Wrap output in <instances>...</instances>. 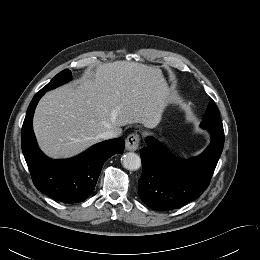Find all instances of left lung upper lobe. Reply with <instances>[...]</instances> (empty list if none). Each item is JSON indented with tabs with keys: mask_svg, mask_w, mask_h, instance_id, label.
Here are the masks:
<instances>
[{
	"mask_svg": "<svg viewBox=\"0 0 260 260\" xmlns=\"http://www.w3.org/2000/svg\"><path fill=\"white\" fill-rule=\"evenodd\" d=\"M201 125H214L223 127V124L219 117L218 108L213 100H211L208 105L207 111L202 118Z\"/></svg>",
	"mask_w": 260,
	"mask_h": 260,
	"instance_id": "1",
	"label": "left lung upper lobe"
}]
</instances>
